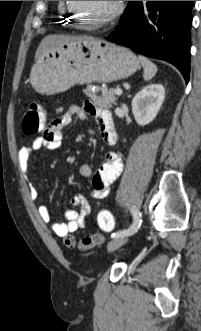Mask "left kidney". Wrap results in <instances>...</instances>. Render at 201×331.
Here are the masks:
<instances>
[{
    "mask_svg": "<svg viewBox=\"0 0 201 331\" xmlns=\"http://www.w3.org/2000/svg\"><path fill=\"white\" fill-rule=\"evenodd\" d=\"M165 99L162 84H150L139 91L132 100V112L136 122L147 125L153 121Z\"/></svg>",
    "mask_w": 201,
    "mask_h": 331,
    "instance_id": "obj_1",
    "label": "left kidney"
}]
</instances>
